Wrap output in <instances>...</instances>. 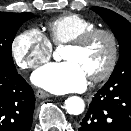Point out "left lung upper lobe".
<instances>
[{
	"mask_svg": "<svg viewBox=\"0 0 131 131\" xmlns=\"http://www.w3.org/2000/svg\"><path fill=\"white\" fill-rule=\"evenodd\" d=\"M107 22L119 42L120 57L108 84L131 83V23L105 8L92 7Z\"/></svg>",
	"mask_w": 131,
	"mask_h": 131,
	"instance_id": "1",
	"label": "left lung upper lobe"
}]
</instances>
